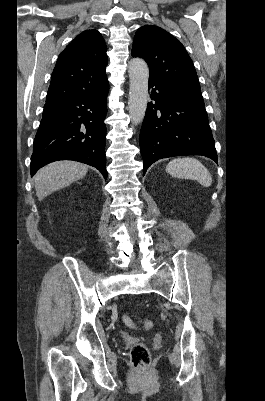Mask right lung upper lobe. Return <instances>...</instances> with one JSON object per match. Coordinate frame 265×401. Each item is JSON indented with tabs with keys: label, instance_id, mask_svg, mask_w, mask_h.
I'll return each instance as SVG.
<instances>
[{
	"label": "right lung upper lobe",
	"instance_id": "1",
	"mask_svg": "<svg viewBox=\"0 0 265 401\" xmlns=\"http://www.w3.org/2000/svg\"><path fill=\"white\" fill-rule=\"evenodd\" d=\"M106 50L98 31L79 34L58 57L45 106L104 89L108 85Z\"/></svg>",
	"mask_w": 265,
	"mask_h": 401
}]
</instances>
